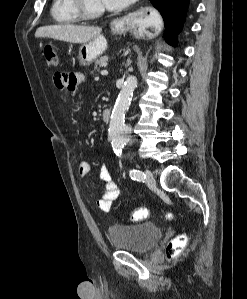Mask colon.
Masks as SVG:
<instances>
[{"instance_id": "5ec220e1", "label": "colon", "mask_w": 247, "mask_h": 299, "mask_svg": "<svg viewBox=\"0 0 247 299\" xmlns=\"http://www.w3.org/2000/svg\"><path fill=\"white\" fill-rule=\"evenodd\" d=\"M44 56L48 67L54 68L58 66V55L54 48L50 45L44 47ZM150 212L147 208H139L132 212L130 219L134 222L141 221L148 218ZM186 236L178 235L172 239L167 245V255L169 258L176 257L179 255L186 246Z\"/></svg>"}]
</instances>
